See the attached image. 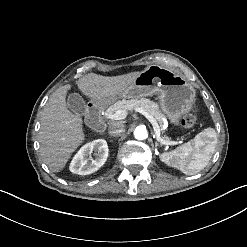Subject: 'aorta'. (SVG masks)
<instances>
[{"label": "aorta", "instance_id": "762f6f07", "mask_svg": "<svg viewBox=\"0 0 247 247\" xmlns=\"http://www.w3.org/2000/svg\"><path fill=\"white\" fill-rule=\"evenodd\" d=\"M134 137L137 140H144L148 137V131L145 126H138L134 130Z\"/></svg>", "mask_w": 247, "mask_h": 247}]
</instances>
